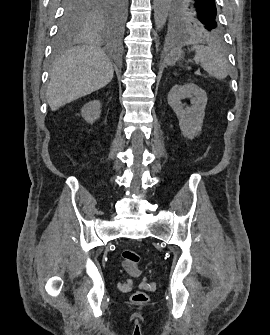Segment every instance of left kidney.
I'll use <instances>...</instances> for the list:
<instances>
[{
	"instance_id": "5707ae66",
	"label": "left kidney",
	"mask_w": 270,
	"mask_h": 335,
	"mask_svg": "<svg viewBox=\"0 0 270 335\" xmlns=\"http://www.w3.org/2000/svg\"><path fill=\"white\" fill-rule=\"evenodd\" d=\"M187 96H195L191 100V108H183L181 100ZM168 104L177 114L180 130L188 140H193L198 136L203 126L205 108L207 104V94L196 84H185V86H173L168 94Z\"/></svg>"
}]
</instances>
